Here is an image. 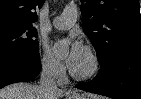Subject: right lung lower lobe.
I'll return each instance as SVG.
<instances>
[{
  "label": "right lung lower lobe",
  "mask_w": 141,
  "mask_h": 99,
  "mask_svg": "<svg viewBox=\"0 0 141 99\" xmlns=\"http://www.w3.org/2000/svg\"><path fill=\"white\" fill-rule=\"evenodd\" d=\"M39 55L0 56V89L16 82L34 79L40 72Z\"/></svg>",
  "instance_id": "1"
}]
</instances>
